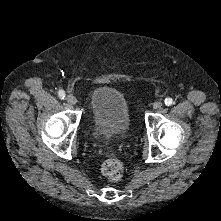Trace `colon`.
<instances>
[{
    "label": "colon",
    "mask_w": 221,
    "mask_h": 221,
    "mask_svg": "<svg viewBox=\"0 0 221 221\" xmlns=\"http://www.w3.org/2000/svg\"><path fill=\"white\" fill-rule=\"evenodd\" d=\"M101 171L107 179L118 181L123 176L124 168L119 160L110 158L103 162Z\"/></svg>",
    "instance_id": "obj_1"
}]
</instances>
